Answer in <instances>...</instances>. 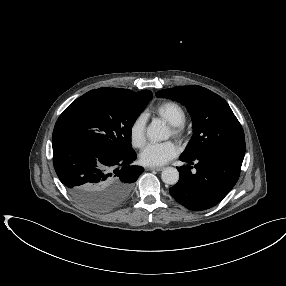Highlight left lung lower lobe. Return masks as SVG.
<instances>
[{
	"mask_svg": "<svg viewBox=\"0 0 286 286\" xmlns=\"http://www.w3.org/2000/svg\"><path fill=\"white\" fill-rule=\"evenodd\" d=\"M242 156L228 152H206L194 158L180 157L188 163L178 167L180 178L169 189L171 196L184 207L206 210L218 204L234 187L243 162ZM193 162L196 173L190 169Z\"/></svg>",
	"mask_w": 286,
	"mask_h": 286,
	"instance_id": "0a47b994",
	"label": "left lung lower lobe"
}]
</instances>
